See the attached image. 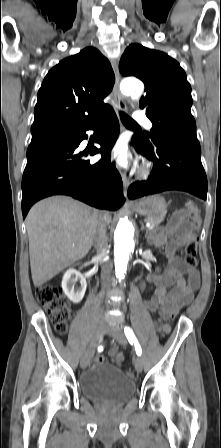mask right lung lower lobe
Instances as JSON below:
<instances>
[{
    "mask_svg": "<svg viewBox=\"0 0 221 448\" xmlns=\"http://www.w3.org/2000/svg\"><path fill=\"white\" fill-rule=\"evenodd\" d=\"M92 129L98 130L96 142L101 148L81 151L79 144ZM118 132V119L109 107L83 126L31 143L22 178L23 218L35 202L56 194L70 195L97 208L121 207L125 201L122 179L109 158ZM99 152L102 159L90 164L87 156Z\"/></svg>",
    "mask_w": 221,
    "mask_h": 448,
    "instance_id": "1",
    "label": "right lung lower lobe"
}]
</instances>
